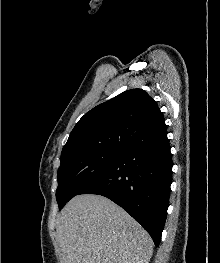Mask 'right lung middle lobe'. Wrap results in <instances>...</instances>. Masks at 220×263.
<instances>
[{"label":"right lung middle lobe","instance_id":"obj_1","mask_svg":"<svg viewBox=\"0 0 220 263\" xmlns=\"http://www.w3.org/2000/svg\"><path fill=\"white\" fill-rule=\"evenodd\" d=\"M123 151V149L92 148L70 151L61 155L56 190L59 209L89 182L118 161Z\"/></svg>","mask_w":220,"mask_h":263}]
</instances>
